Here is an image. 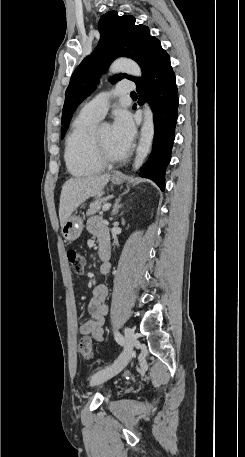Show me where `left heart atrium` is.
<instances>
[{
    "label": "left heart atrium",
    "mask_w": 245,
    "mask_h": 457,
    "mask_svg": "<svg viewBox=\"0 0 245 457\" xmlns=\"http://www.w3.org/2000/svg\"><path fill=\"white\" fill-rule=\"evenodd\" d=\"M111 133L117 144L122 146L125 150L130 148L135 128L132 117L127 111L119 110L116 112Z\"/></svg>",
    "instance_id": "39dd6f15"
}]
</instances>
